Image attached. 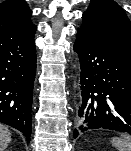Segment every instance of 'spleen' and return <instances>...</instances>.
<instances>
[{
	"mask_svg": "<svg viewBox=\"0 0 131 151\" xmlns=\"http://www.w3.org/2000/svg\"><path fill=\"white\" fill-rule=\"evenodd\" d=\"M111 143L118 151H131V142L128 140L113 138Z\"/></svg>",
	"mask_w": 131,
	"mask_h": 151,
	"instance_id": "obj_1",
	"label": "spleen"
}]
</instances>
